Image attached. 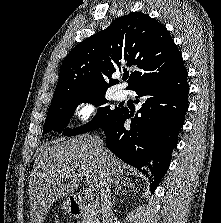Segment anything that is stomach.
Masks as SVG:
<instances>
[{"instance_id": "obj_1", "label": "stomach", "mask_w": 221, "mask_h": 223, "mask_svg": "<svg viewBox=\"0 0 221 223\" xmlns=\"http://www.w3.org/2000/svg\"><path fill=\"white\" fill-rule=\"evenodd\" d=\"M62 208L66 212H69L70 211L69 200H66V201L63 202Z\"/></svg>"}]
</instances>
